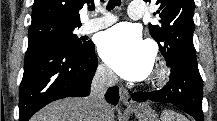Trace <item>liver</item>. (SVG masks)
Segmentation results:
<instances>
[{
  "mask_svg": "<svg viewBox=\"0 0 217 121\" xmlns=\"http://www.w3.org/2000/svg\"><path fill=\"white\" fill-rule=\"evenodd\" d=\"M89 107L87 98H65L45 106L31 121H89ZM113 119V109L107 105L104 121Z\"/></svg>",
  "mask_w": 217,
  "mask_h": 121,
  "instance_id": "liver-1",
  "label": "liver"
}]
</instances>
